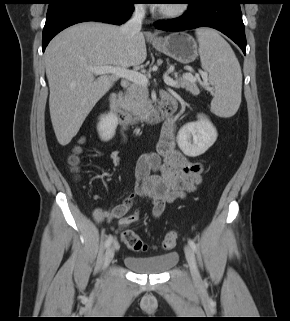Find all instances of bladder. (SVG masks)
Segmentation results:
<instances>
[{"instance_id":"31cf9c89","label":"bladder","mask_w":290,"mask_h":321,"mask_svg":"<svg viewBox=\"0 0 290 321\" xmlns=\"http://www.w3.org/2000/svg\"><path fill=\"white\" fill-rule=\"evenodd\" d=\"M178 260L177 252H170L155 256L139 257L127 255L124 264L139 274L159 275L174 267Z\"/></svg>"}]
</instances>
